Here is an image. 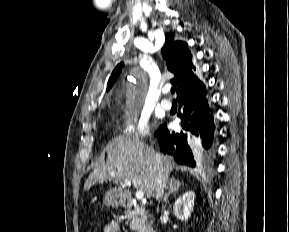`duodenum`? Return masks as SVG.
Segmentation results:
<instances>
[{
	"mask_svg": "<svg viewBox=\"0 0 289 232\" xmlns=\"http://www.w3.org/2000/svg\"><path fill=\"white\" fill-rule=\"evenodd\" d=\"M118 200L121 205L125 207H131L134 205V200L132 194L127 190H122L118 195ZM149 232H156L154 229H151Z\"/></svg>",
	"mask_w": 289,
	"mask_h": 232,
	"instance_id": "410a0bca",
	"label": "duodenum"
}]
</instances>
